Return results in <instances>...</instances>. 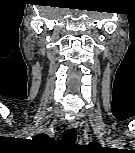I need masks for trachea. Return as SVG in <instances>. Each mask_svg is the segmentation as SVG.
Returning <instances> with one entry per match:
<instances>
[{
  "label": "trachea",
  "instance_id": "obj_1",
  "mask_svg": "<svg viewBox=\"0 0 135 153\" xmlns=\"http://www.w3.org/2000/svg\"><path fill=\"white\" fill-rule=\"evenodd\" d=\"M76 141V130L74 128L65 130L63 134V143L74 144Z\"/></svg>",
  "mask_w": 135,
  "mask_h": 153
}]
</instances>
